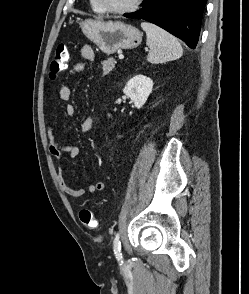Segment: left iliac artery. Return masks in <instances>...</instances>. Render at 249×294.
<instances>
[{
	"label": "left iliac artery",
	"mask_w": 249,
	"mask_h": 294,
	"mask_svg": "<svg viewBox=\"0 0 249 294\" xmlns=\"http://www.w3.org/2000/svg\"><path fill=\"white\" fill-rule=\"evenodd\" d=\"M113 250H114V254H115L117 260L121 261V263H123L119 233H116V235H115L114 242H113Z\"/></svg>",
	"instance_id": "44dca946"
}]
</instances>
